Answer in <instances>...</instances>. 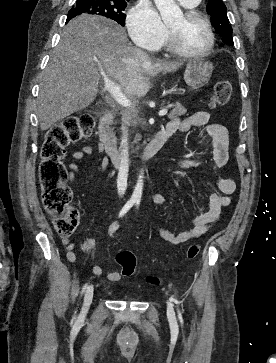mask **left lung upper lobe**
<instances>
[{"instance_id":"1","label":"left lung upper lobe","mask_w":276,"mask_h":363,"mask_svg":"<svg viewBox=\"0 0 276 363\" xmlns=\"http://www.w3.org/2000/svg\"><path fill=\"white\" fill-rule=\"evenodd\" d=\"M207 12L211 16V24L215 31L222 36V41L233 45L232 28L227 17V9L222 0H211L207 5Z\"/></svg>"}]
</instances>
